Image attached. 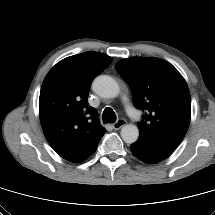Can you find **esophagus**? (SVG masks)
Masks as SVG:
<instances>
[{"instance_id": "esophagus-1", "label": "esophagus", "mask_w": 215, "mask_h": 215, "mask_svg": "<svg viewBox=\"0 0 215 215\" xmlns=\"http://www.w3.org/2000/svg\"><path fill=\"white\" fill-rule=\"evenodd\" d=\"M127 124V121L125 119H119L118 121H116L112 127L115 130H119L120 128H122L123 126H125Z\"/></svg>"}]
</instances>
